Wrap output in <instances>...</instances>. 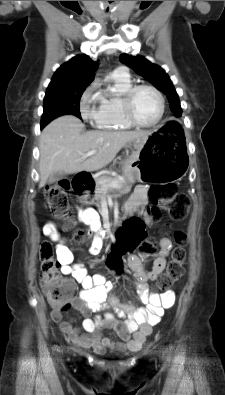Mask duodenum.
I'll return each mask as SVG.
<instances>
[{
    "label": "duodenum",
    "mask_w": 225,
    "mask_h": 395,
    "mask_svg": "<svg viewBox=\"0 0 225 395\" xmlns=\"http://www.w3.org/2000/svg\"><path fill=\"white\" fill-rule=\"evenodd\" d=\"M74 188L78 192H85L93 188V180L87 173H77L73 180Z\"/></svg>",
    "instance_id": "1"
}]
</instances>
